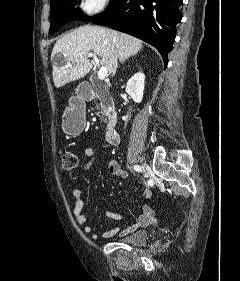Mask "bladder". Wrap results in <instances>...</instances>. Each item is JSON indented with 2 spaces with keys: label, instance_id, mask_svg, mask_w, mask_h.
<instances>
[{
  "label": "bladder",
  "instance_id": "bladder-1",
  "mask_svg": "<svg viewBox=\"0 0 240 281\" xmlns=\"http://www.w3.org/2000/svg\"><path fill=\"white\" fill-rule=\"evenodd\" d=\"M148 239V233L145 230H138L121 238L123 243L129 245H142Z\"/></svg>",
  "mask_w": 240,
  "mask_h": 281
}]
</instances>
